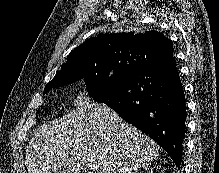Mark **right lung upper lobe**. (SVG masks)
Returning <instances> with one entry per match:
<instances>
[{"label":"right lung upper lobe","mask_w":219,"mask_h":173,"mask_svg":"<svg viewBox=\"0 0 219 173\" xmlns=\"http://www.w3.org/2000/svg\"><path fill=\"white\" fill-rule=\"evenodd\" d=\"M172 58V41L158 31L99 34L71 51L68 62L46 86L67 72L81 75L106 64L132 63L137 67L148 60L168 62Z\"/></svg>","instance_id":"right-lung-upper-lobe-1"}]
</instances>
